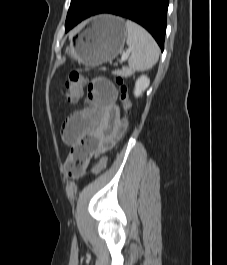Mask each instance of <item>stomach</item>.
Listing matches in <instances>:
<instances>
[{
    "instance_id": "obj_1",
    "label": "stomach",
    "mask_w": 227,
    "mask_h": 265,
    "mask_svg": "<svg viewBox=\"0 0 227 265\" xmlns=\"http://www.w3.org/2000/svg\"><path fill=\"white\" fill-rule=\"evenodd\" d=\"M127 38L124 21L113 15H98L70 44L67 53L79 64L95 67L121 53Z\"/></svg>"
}]
</instances>
